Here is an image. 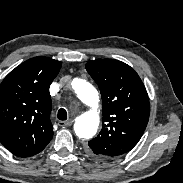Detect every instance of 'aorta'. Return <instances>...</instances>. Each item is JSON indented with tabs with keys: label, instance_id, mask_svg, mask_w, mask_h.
I'll return each instance as SVG.
<instances>
[{
	"label": "aorta",
	"instance_id": "1",
	"mask_svg": "<svg viewBox=\"0 0 183 183\" xmlns=\"http://www.w3.org/2000/svg\"><path fill=\"white\" fill-rule=\"evenodd\" d=\"M73 89L77 97L91 110L83 113L76 118L74 130L79 138L90 139L98 129L100 123L99 113L97 111L99 96L96 88L83 79H74Z\"/></svg>",
	"mask_w": 183,
	"mask_h": 183
}]
</instances>
